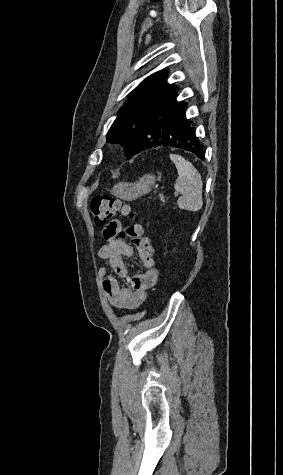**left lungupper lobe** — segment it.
<instances>
[{
	"label": "left lung upper lobe",
	"instance_id": "obj_1",
	"mask_svg": "<svg viewBox=\"0 0 283 475\" xmlns=\"http://www.w3.org/2000/svg\"><path fill=\"white\" fill-rule=\"evenodd\" d=\"M167 72L158 71L135 88L119 110L107 134V142H117L123 135H139L152 109L176 86L166 82Z\"/></svg>",
	"mask_w": 283,
	"mask_h": 475
}]
</instances>
